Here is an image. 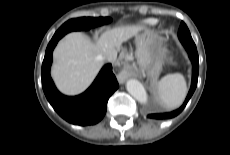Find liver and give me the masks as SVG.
<instances>
[{
	"mask_svg": "<svg viewBox=\"0 0 230 155\" xmlns=\"http://www.w3.org/2000/svg\"><path fill=\"white\" fill-rule=\"evenodd\" d=\"M141 29L139 25L115 27L104 32L96 42L80 32L67 34L53 52L51 75L58 89L67 95L82 93L99 73L105 56L136 37Z\"/></svg>",
	"mask_w": 230,
	"mask_h": 155,
	"instance_id": "obj_1",
	"label": "liver"
}]
</instances>
